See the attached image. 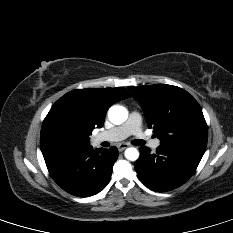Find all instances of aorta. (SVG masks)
<instances>
[{"mask_svg": "<svg viewBox=\"0 0 233 233\" xmlns=\"http://www.w3.org/2000/svg\"><path fill=\"white\" fill-rule=\"evenodd\" d=\"M109 120L116 125H120L128 118V111L120 105H113L108 110ZM125 157L130 161H136L139 158V152L136 148L130 147L125 150Z\"/></svg>", "mask_w": 233, "mask_h": 233, "instance_id": "obj_1", "label": "aorta"}]
</instances>
